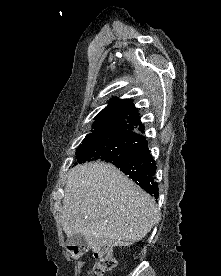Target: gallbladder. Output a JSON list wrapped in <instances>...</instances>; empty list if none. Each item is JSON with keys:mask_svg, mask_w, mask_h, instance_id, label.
<instances>
[{"mask_svg": "<svg viewBox=\"0 0 221 276\" xmlns=\"http://www.w3.org/2000/svg\"><path fill=\"white\" fill-rule=\"evenodd\" d=\"M66 243L73 246H87V241L82 234H73L67 238Z\"/></svg>", "mask_w": 221, "mask_h": 276, "instance_id": "obj_1", "label": "gallbladder"}]
</instances>
